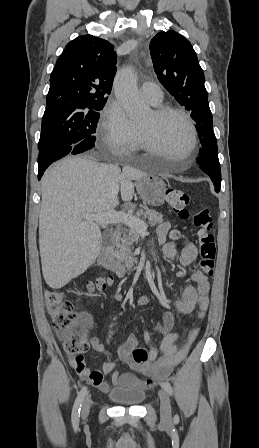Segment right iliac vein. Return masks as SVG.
I'll return each instance as SVG.
<instances>
[{"mask_svg":"<svg viewBox=\"0 0 259 448\" xmlns=\"http://www.w3.org/2000/svg\"><path fill=\"white\" fill-rule=\"evenodd\" d=\"M90 411V397L88 396L82 406V418L86 419Z\"/></svg>","mask_w":259,"mask_h":448,"instance_id":"63e3f726","label":"right iliac vein"}]
</instances>
